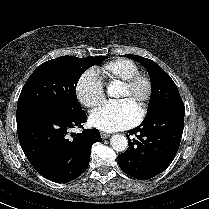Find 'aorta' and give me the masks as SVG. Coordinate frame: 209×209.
Here are the masks:
<instances>
[{
    "label": "aorta",
    "mask_w": 209,
    "mask_h": 209,
    "mask_svg": "<svg viewBox=\"0 0 209 209\" xmlns=\"http://www.w3.org/2000/svg\"><path fill=\"white\" fill-rule=\"evenodd\" d=\"M107 93L109 96H114L116 93V88L114 86H110L107 88ZM110 144L112 148L118 152L125 151L128 147V140L125 136L115 134L110 139Z\"/></svg>",
    "instance_id": "aorta-1"
}]
</instances>
